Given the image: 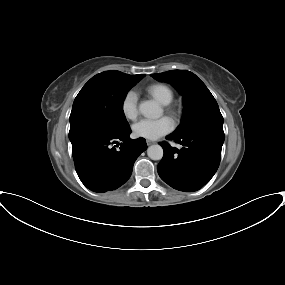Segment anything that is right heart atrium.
Here are the masks:
<instances>
[{"label": "right heart atrium", "instance_id": "obj_1", "mask_svg": "<svg viewBox=\"0 0 285 285\" xmlns=\"http://www.w3.org/2000/svg\"><path fill=\"white\" fill-rule=\"evenodd\" d=\"M121 110L128 120H135L138 116V95L135 91H128L121 102Z\"/></svg>", "mask_w": 285, "mask_h": 285}]
</instances>
